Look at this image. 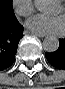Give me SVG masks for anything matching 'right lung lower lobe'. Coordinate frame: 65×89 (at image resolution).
Masks as SVG:
<instances>
[{"instance_id":"1","label":"right lung lower lobe","mask_w":65,"mask_h":89,"mask_svg":"<svg viewBox=\"0 0 65 89\" xmlns=\"http://www.w3.org/2000/svg\"><path fill=\"white\" fill-rule=\"evenodd\" d=\"M23 31L17 18H0V71L13 64Z\"/></svg>"}]
</instances>
